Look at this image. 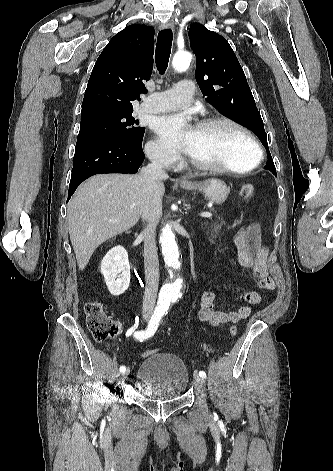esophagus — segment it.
<instances>
[{
    "instance_id": "34e87169",
    "label": "esophagus",
    "mask_w": 333,
    "mask_h": 471,
    "mask_svg": "<svg viewBox=\"0 0 333 471\" xmlns=\"http://www.w3.org/2000/svg\"><path fill=\"white\" fill-rule=\"evenodd\" d=\"M161 28H163V29H174V24L170 21H165L161 24ZM179 181L186 182V179L181 177V178H179Z\"/></svg>"
}]
</instances>
